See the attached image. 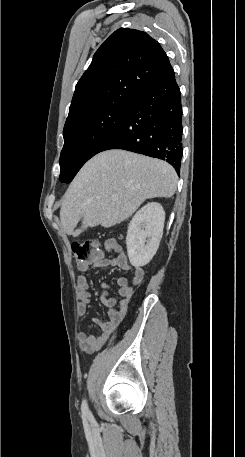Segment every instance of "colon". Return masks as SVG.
Listing matches in <instances>:
<instances>
[{
	"label": "colon",
	"instance_id": "colon-1",
	"mask_svg": "<svg viewBox=\"0 0 245 457\" xmlns=\"http://www.w3.org/2000/svg\"><path fill=\"white\" fill-rule=\"evenodd\" d=\"M72 255L76 262L82 263L96 257L100 248L96 240H82L71 245Z\"/></svg>",
	"mask_w": 245,
	"mask_h": 457
}]
</instances>
